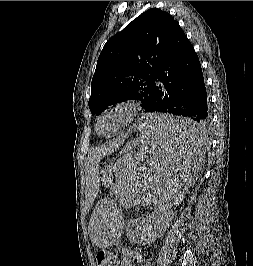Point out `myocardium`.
I'll return each instance as SVG.
<instances>
[{
	"instance_id": "1",
	"label": "myocardium",
	"mask_w": 253,
	"mask_h": 266,
	"mask_svg": "<svg viewBox=\"0 0 253 266\" xmlns=\"http://www.w3.org/2000/svg\"><path fill=\"white\" fill-rule=\"evenodd\" d=\"M121 112L123 114V122L121 125L112 133L108 135L101 134L99 132V123L100 120L108 113L111 112ZM141 111V105L138 101L134 99H123L118 102H115L106 108H104L98 115L96 120V131L97 133L102 137H113L120 132H122L124 129L129 127L136 119V117L139 115Z\"/></svg>"
}]
</instances>
